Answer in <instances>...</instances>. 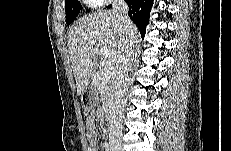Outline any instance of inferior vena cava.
I'll return each mask as SVG.
<instances>
[{
  "label": "inferior vena cava",
  "mask_w": 231,
  "mask_h": 151,
  "mask_svg": "<svg viewBox=\"0 0 231 151\" xmlns=\"http://www.w3.org/2000/svg\"><path fill=\"white\" fill-rule=\"evenodd\" d=\"M129 7L124 0H114L113 11L118 17L126 41L114 76V101L109 118V144L120 143L122 135V119L125 106L124 95L127 88L126 78L134 54L135 43L131 30V20L128 16Z\"/></svg>",
  "instance_id": "602c4592"
}]
</instances>
